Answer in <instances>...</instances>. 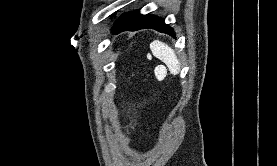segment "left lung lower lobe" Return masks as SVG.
<instances>
[{
    "instance_id": "obj_1",
    "label": "left lung lower lobe",
    "mask_w": 277,
    "mask_h": 166,
    "mask_svg": "<svg viewBox=\"0 0 277 166\" xmlns=\"http://www.w3.org/2000/svg\"><path fill=\"white\" fill-rule=\"evenodd\" d=\"M145 28H152L159 32L167 33L173 37L171 27L164 23V20L155 16L141 15L138 11L123 14L116 20L112 27V32L118 34L125 30H140Z\"/></svg>"
}]
</instances>
